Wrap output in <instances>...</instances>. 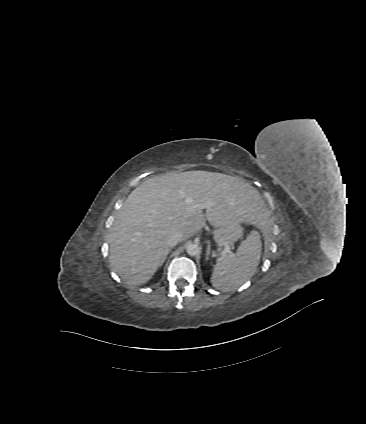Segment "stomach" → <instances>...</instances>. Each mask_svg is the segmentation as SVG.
Here are the masks:
<instances>
[{"label":"stomach","instance_id":"stomach-1","mask_svg":"<svg viewBox=\"0 0 366 424\" xmlns=\"http://www.w3.org/2000/svg\"><path fill=\"white\" fill-rule=\"evenodd\" d=\"M243 234V228L240 222L222 225L214 231V240L217 244L227 245L230 242L237 241Z\"/></svg>","mask_w":366,"mask_h":424}]
</instances>
